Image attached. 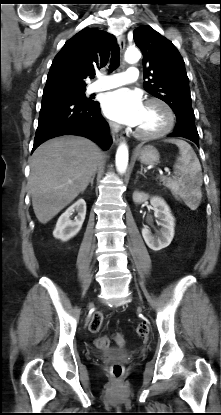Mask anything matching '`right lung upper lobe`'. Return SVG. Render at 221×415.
Masks as SVG:
<instances>
[{
    "label": "right lung upper lobe",
    "instance_id": "1",
    "mask_svg": "<svg viewBox=\"0 0 221 415\" xmlns=\"http://www.w3.org/2000/svg\"><path fill=\"white\" fill-rule=\"evenodd\" d=\"M116 38L94 28H84L69 39L55 56L43 96L66 90L83 89L85 79L104 67Z\"/></svg>",
    "mask_w": 221,
    "mask_h": 415
}]
</instances>
